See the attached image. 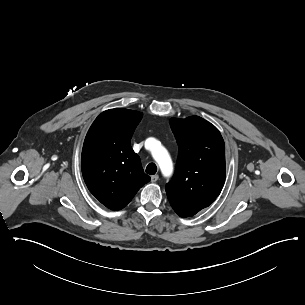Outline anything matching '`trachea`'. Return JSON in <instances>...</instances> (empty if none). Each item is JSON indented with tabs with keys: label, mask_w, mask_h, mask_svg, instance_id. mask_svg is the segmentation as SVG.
Masks as SVG:
<instances>
[{
	"label": "trachea",
	"mask_w": 305,
	"mask_h": 305,
	"mask_svg": "<svg viewBox=\"0 0 305 305\" xmlns=\"http://www.w3.org/2000/svg\"><path fill=\"white\" fill-rule=\"evenodd\" d=\"M157 166L154 163H150L146 167V173L149 175H154L157 172Z\"/></svg>",
	"instance_id": "obj_1"
}]
</instances>
